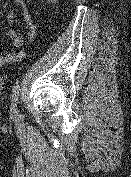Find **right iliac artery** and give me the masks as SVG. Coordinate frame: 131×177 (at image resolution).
<instances>
[{
	"label": "right iliac artery",
	"instance_id": "82829eb1",
	"mask_svg": "<svg viewBox=\"0 0 131 177\" xmlns=\"http://www.w3.org/2000/svg\"><path fill=\"white\" fill-rule=\"evenodd\" d=\"M19 91H20V87L18 85V83L14 86L13 91H12V96H11V111L14 115L17 114V101H18V97H19Z\"/></svg>",
	"mask_w": 131,
	"mask_h": 177
}]
</instances>
